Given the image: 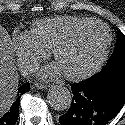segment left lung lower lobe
Here are the masks:
<instances>
[{
    "label": "left lung lower lobe",
    "mask_w": 125,
    "mask_h": 125,
    "mask_svg": "<svg viewBox=\"0 0 125 125\" xmlns=\"http://www.w3.org/2000/svg\"><path fill=\"white\" fill-rule=\"evenodd\" d=\"M73 101L61 125H106L125 104V66L71 85Z\"/></svg>",
    "instance_id": "left-lung-lower-lobe-1"
}]
</instances>
